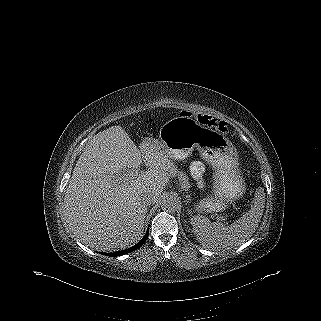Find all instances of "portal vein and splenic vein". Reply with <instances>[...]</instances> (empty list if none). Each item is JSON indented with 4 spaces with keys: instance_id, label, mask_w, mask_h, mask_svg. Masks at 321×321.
I'll return each mask as SVG.
<instances>
[{
    "instance_id": "18ae733b",
    "label": "portal vein and splenic vein",
    "mask_w": 321,
    "mask_h": 321,
    "mask_svg": "<svg viewBox=\"0 0 321 321\" xmlns=\"http://www.w3.org/2000/svg\"><path fill=\"white\" fill-rule=\"evenodd\" d=\"M134 173H135V174H138V170H137V169H135V170H134Z\"/></svg>"
}]
</instances>
